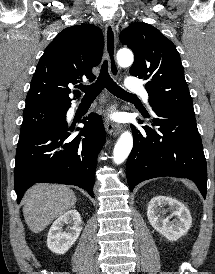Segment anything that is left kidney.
<instances>
[{
	"label": "left kidney",
	"instance_id": "1",
	"mask_svg": "<svg viewBox=\"0 0 215 274\" xmlns=\"http://www.w3.org/2000/svg\"><path fill=\"white\" fill-rule=\"evenodd\" d=\"M169 206L171 214L165 217V206ZM147 217L151 226L169 241H176L186 235L192 225L189 210L180 201L166 197H153L147 209ZM175 217L172 221L171 218Z\"/></svg>",
	"mask_w": 215,
	"mask_h": 274
}]
</instances>
